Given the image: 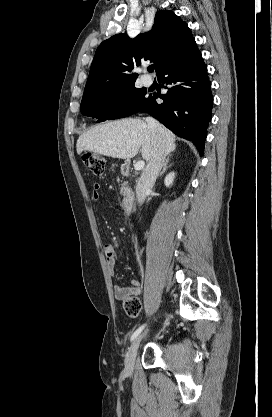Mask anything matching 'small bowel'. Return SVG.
I'll use <instances>...</instances> for the list:
<instances>
[{
  "label": "small bowel",
  "instance_id": "c3829d8e",
  "mask_svg": "<svg viewBox=\"0 0 272 417\" xmlns=\"http://www.w3.org/2000/svg\"><path fill=\"white\" fill-rule=\"evenodd\" d=\"M100 198V184L95 183L93 185L92 199L98 201ZM104 252L107 258V264L110 274L114 275V268L117 263V253L115 248L111 244H106ZM114 297L118 301H124L128 297H139L142 293V286L139 280L132 279L128 286H120L115 284L113 288Z\"/></svg>",
  "mask_w": 272,
  "mask_h": 417
}]
</instances>
